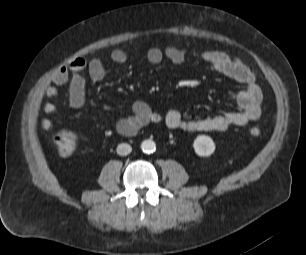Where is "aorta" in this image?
Here are the masks:
<instances>
[{
  "label": "aorta",
  "instance_id": "1",
  "mask_svg": "<svg viewBox=\"0 0 306 255\" xmlns=\"http://www.w3.org/2000/svg\"><path fill=\"white\" fill-rule=\"evenodd\" d=\"M141 150L146 153V154H150V153H153L155 152L156 150V143L151 140V139H147V140H144L142 143H141Z\"/></svg>",
  "mask_w": 306,
  "mask_h": 255
}]
</instances>
